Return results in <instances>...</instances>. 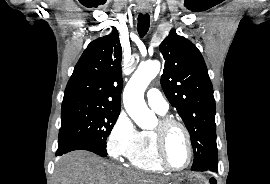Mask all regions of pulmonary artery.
<instances>
[{"label":"pulmonary artery","instance_id":"obj_1","mask_svg":"<svg viewBox=\"0 0 270 184\" xmlns=\"http://www.w3.org/2000/svg\"><path fill=\"white\" fill-rule=\"evenodd\" d=\"M146 98L149 106L160 114L168 111L169 105L160 91L156 88H151L146 93Z\"/></svg>","mask_w":270,"mask_h":184}]
</instances>
